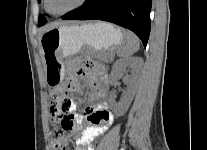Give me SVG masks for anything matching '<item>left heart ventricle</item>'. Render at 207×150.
<instances>
[{"label":"left heart ventricle","instance_id":"obj_1","mask_svg":"<svg viewBox=\"0 0 207 150\" xmlns=\"http://www.w3.org/2000/svg\"><path fill=\"white\" fill-rule=\"evenodd\" d=\"M79 0H48V7L52 12H62L78 3Z\"/></svg>","mask_w":207,"mask_h":150}]
</instances>
